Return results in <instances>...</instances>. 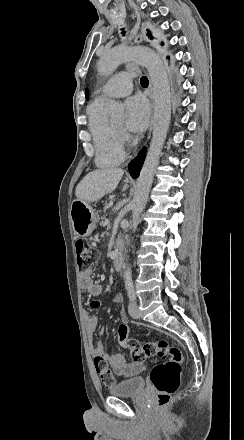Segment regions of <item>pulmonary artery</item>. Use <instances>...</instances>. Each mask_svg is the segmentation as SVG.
<instances>
[{"label": "pulmonary artery", "mask_w": 244, "mask_h": 440, "mask_svg": "<svg viewBox=\"0 0 244 440\" xmlns=\"http://www.w3.org/2000/svg\"><path fill=\"white\" fill-rule=\"evenodd\" d=\"M127 75H110L109 81L103 85L106 93L98 94L97 100L104 101L110 97H125L129 96L133 89V77L136 76V71H127Z\"/></svg>", "instance_id": "pulmonary-artery-1"}]
</instances>
